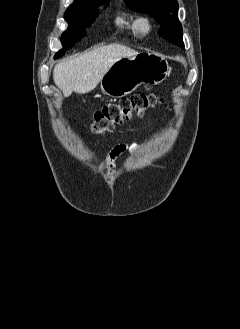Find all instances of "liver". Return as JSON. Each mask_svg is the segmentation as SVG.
<instances>
[{"label": "liver", "instance_id": "liver-1", "mask_svg": "<svg viewBox=\"0 0 240 329\" xmlns=\"http://www.w3.org/2000/svg\"><path fill=\"white\" fill-rule=\"evenodd\" d=\"M137 54V51L120 44L98 47L75 59L57 64L53 70V80L64 97H69L73 91L85 94L96 88L116 61Z\"/></svg>", "mask_w": 240, "mask_h": 329}]
</instances>
